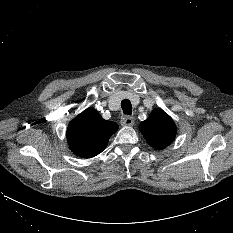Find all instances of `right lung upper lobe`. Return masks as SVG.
<instances>
[{"label":"right lung upper lobe","mask_w":233,"mask_h":233,"mask_svg":"<svg viewBox=\"0 0 233 233\" xmlns=\"http://www.w3.org/2000/svg\"><path fill=\"white\" fill-rule=\"evenodd\" d=\"M118 125L104 120L92 108H88L73 119L67 129L70 149L78 156L91 158L101 153Z\"/></svg>","instance_id":"obj_1"}]
</instances>
